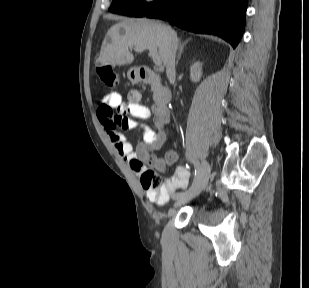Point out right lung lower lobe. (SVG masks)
Here are the masks:
<instances>
[{
    "label": "right lung lower lobe",
    "instance_id": "1",
    "mask_svg": "<svg viewBox=\"0 0 309 288\" xmlns=\"http://www.w3.org/2000/svg\"><path fill=\"white\" fill-rule=\"evenodd\" d=\"M247 0H165L148 12L196 33L215 34L235 48L244 32Z\"/></svg>",
    "mask_w": 309,
    "mask_h": 288
}]
</instances>
